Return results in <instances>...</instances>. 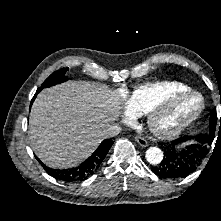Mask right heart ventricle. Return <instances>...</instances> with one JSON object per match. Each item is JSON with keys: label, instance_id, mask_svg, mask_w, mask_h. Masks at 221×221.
Wrapping results in <instances>:
<instances>
[{"label": "right heart ventricle", "instance_id": "1", "mask_svg": "<svg viewBox=\"0 0 221 221\" xmlns=\"http://www.w3.org/2000/svg\"><path fill=\"white\" fill-rule=\"evenodd\" d=\"M190 90L177 81H158L135 87L126 98V108L136 116L147 114L160 100Z\"/></svg>", "mask_w": 221, "mask_h": 221}]
</instances>
